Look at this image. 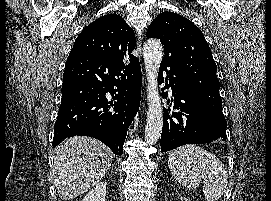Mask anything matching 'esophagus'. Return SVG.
I'll return each mask as SVG.
<instances>
[{
    "instance_id": "esophagus-1",
    "label": "esophagus",
    "mask_w": 271,
    "mask_h": 201,
    "mask_svg": "<svg viewBox=\"0 0 271 201\" xmlns=\"http://www.w3.org/2000/svg\"><path fill=\"white\" fill-rule=\"evenodd\" d=\"M137 50L141 56V52H142V37H141V35H138V38H137Z\"/></svg>"
}]
</instances>
